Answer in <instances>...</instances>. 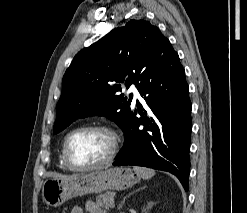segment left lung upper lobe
Masks as SVG:
<instances>
[{"mask_svg":"<svg viewBox=\"0 0 247 213\" xmlns=\"http://www.w3.org/2000/svg\"><path fill=\"white\" fill-rule=\"evenodd\" d=\"M175 52L160 30L144 20H130L78 52L62 80L54 133L78 118L100 115L123 130L132 116L129 99L118 95L121 83L136 87L151 68ZM115 82V84H113Z\"/></svg>","mask_w":247,"mask_h":213,"instance_id":"left-lung-upper-lobe-1","label":"left lung upper lobe"}]
</instances>
